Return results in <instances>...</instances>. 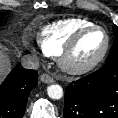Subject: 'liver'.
I'll use <instances>...</instances> for the list:
<instances>
[{
    "label": "liver",
    "mask_w": 118,
    "mask_h": 118,
    "mask_svg": "<svg viewBox=\"0 0 118 118\" xmlns=\"http://www.w3.org/2000/svg\"><path fill=\"white\" fill-rule=\"evenodd\" d=\"M11 70V62L8 55L4 52L3 48L0 47V83L6 77Z\"/></svg>",
    "instance_id": "1"
}]
</instances>
